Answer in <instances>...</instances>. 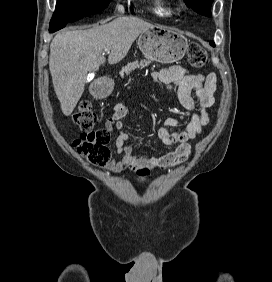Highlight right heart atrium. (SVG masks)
<instances>
[{
	"instance_id": "1",
	"label": "right heart atrium",
	"mask_w": 272,
	"mask_h": 282,
	"mask_svg": "<svg viewBox=\"0 0 272 282\" xmlns=\"http://www.w3.org/2000/svg\"><path fill=\"white\" fill-rule=\"evenodd\" d=\"M118 10H119V11H121V10H122V8H121V7H118Z\"/></svg>"
}]
</instances>
